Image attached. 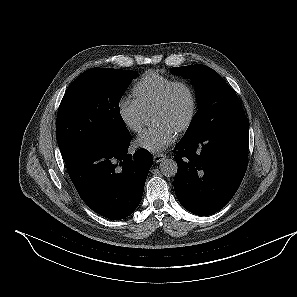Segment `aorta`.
<instances>
[{
	"instance_id": "aorta-1",
	"label": "aorta",
	"mask_w": 297,
	"mask_h": 297,
	"mask_svg": "<svg viewBox=\"0 0 297 297\" xmlns=\"http://www.w3.org/2000/svg\"><path fill=\"white\" fill-rule=\"evenodd\" d=\"M159 168L164 176L172 177L176 175L178 166L175 160L166 158L161 161Z\"/></svg>"
}]
</instances>
